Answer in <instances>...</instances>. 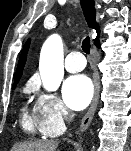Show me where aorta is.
<instances>
[{
  "label": "aorta",
  "mask_w": 131,
  "mask_h": 151,
  "mask_svg": "<svg viewBox=\"0 0 131 151\" xmlns=\"http://www.w3.org/2000/svg\"><path fill=\"white\" fill-rule=\"evenodd\" d=\"M39 70L44 88L48 91L57 90L64 75L63 43L59 35H51L44 43Z\"/></svg>",
  "instance_id": "obj_1"
}]
</instances>
